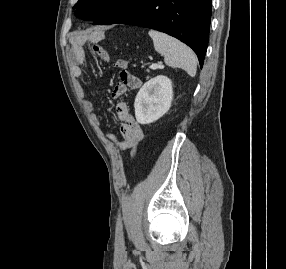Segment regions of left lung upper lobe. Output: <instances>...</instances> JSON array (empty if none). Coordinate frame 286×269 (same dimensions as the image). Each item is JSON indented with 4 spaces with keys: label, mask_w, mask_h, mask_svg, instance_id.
Returning a JSON list of instances; mask_svg holds the SVG:
<instances>
[{
    "label": "left lung upper lobe",
    "mask_w": 286,
    "mask_h": 269,
    "mask_svg": "<svg viewBox=\"0 0 286 269\" xmlns=\"http://www.w3.org/2000/svg\"><path fill=\"white\" fill-rule=\"evenodd\" d=\"M145 0H79L74 9L76 15L94 20L95 24L110 25L130 14Z\"/></svg>",
    "instance_id": "5c2ea615"
}]
</instances>
